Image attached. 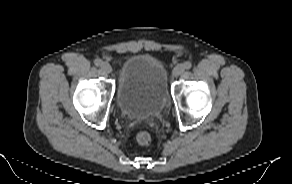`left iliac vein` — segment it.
<instances>
[{"label":"left iliac vein","mask_w":292,"mask_h":184,"mask_svg":"<svg viewBox=\"0 0 292 184\" xmlns=\"http://www.w3.org/2000/svg\"><path fill=\"white\" fill-rule=\"evenodd\" d=\"M184 72V66L183 65H177L173 71H172V75L174 77H178L179 75H181Z\"/></svg>","instance_id":"obj_1"}]
</instances>
